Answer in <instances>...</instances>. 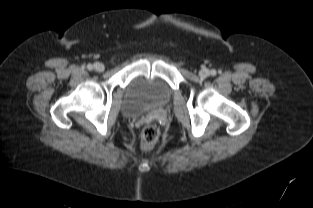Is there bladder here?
I'll list each match as a JSON object with an SVG mask.
<instances>
[{
	"mask_svg": "<svg viewBox=\"0 0 313 208\" xmlns=\"http://www.w3.org/2000/svg\"><path fill=\"white\" fill-rule=\"evenodd\" d=\"M170 96L171 89L166 82L137 77L132 79L127 87L123 110L129 114L141 113L164 105Z\"/></svg>",
	"mask_w": 313,
	"mask_h": 208,
	"instance_id": "obj_1",
	"label": "bladder"
}]
</instances>
